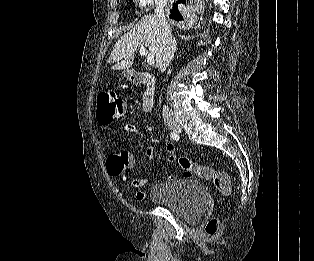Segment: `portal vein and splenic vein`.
<instances>
[{"label":"portal vein and splenic vein","instance_id":"obj_1","mask_svg":"<svg viewBox=\"0 0 314 261\" xmlns=\"http://www.w3.org/2000/svg\"><path fill=\"white\" fill-rule=\"evenodd\" d=\"M140 54L141 56L146 57V61L148 65H154L155 63L154 56L152 54H147V51L144 46L140 47Z\"/></svg>","mask_w":314,"mask_h":261}]
</instances>
